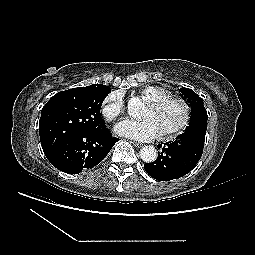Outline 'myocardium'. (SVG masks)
Returning a JSON list of instances; mask_svg holds the SVG:
<instances>
[{
    "instance_id": "f54148a6",
    "label": "myocardium",
    "mask_w": 255,
    "mask_h": 255,
    "mask_svg": "<svg viewBox=\"0 0 255 255\" xmlns=\"http://www.w3.org/2000/svg\"><path fill=\"white\" fill-rule=\"evenodd\" d=\"M149 104L152 105L155 109H162L169 105H176L182 111V119L179 124L163 132L161 134L162 139L168 140L174 138L188 128L192 118V109L183 98L179 96L169 95L156 101L149 102Z\"/></svg>"
}]
</instances>
